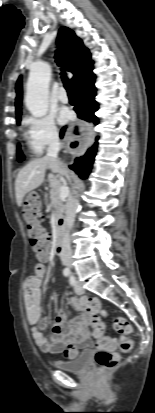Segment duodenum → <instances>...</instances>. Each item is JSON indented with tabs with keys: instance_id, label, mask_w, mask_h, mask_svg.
<instances>
[{
	"instance_id": "duodenum-1",
	"label": "duodenum",
	"mask_w": 155,
	"mask_h": 413,
	"mask_svg": "<svg viewBox=\"0 0 155 413\" xmlns=\"http://www.w3.org/2000/svg\"><path fill=\"white\" fill-rule=\"evenodd\" d=\"M64 232H65V224L64 222H60L56 230V253L59 256H62L64 253V246H63Z\"/></svg>"
}]
</instances>
